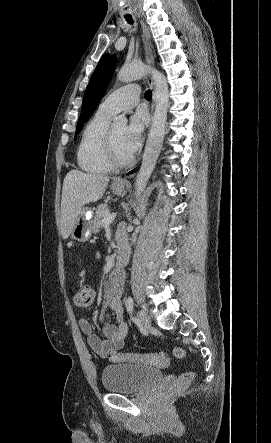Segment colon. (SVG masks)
Returning <instances> with one entry per match:
<instances>
[{
  "mask_svg": "<svg viewBox=\"0 0 271 443\" xmlns=\"http://www.w3.org/2000/svg\"><path fill=\"white\" fill-rule=\"evenodd\" d=\"M72 297L74 304L85 310H91L94 305L95 290L89 283H81L72 289ZM174 354L178 358L185 355L184 349L177 347ZM109 359L112 362H132L153 365L156 367H167L169 365V358L164 352L155 353H121L114 351L110 353ZM194 378L193 372H184L180 374L170 386L167 396L172 398L175 395L186 390Z\"/></svg>",
  "mask_w": 271,
  "mask_h": 443,
  "instance_id": "1",
  "label": "colon"
}]
</instances>
